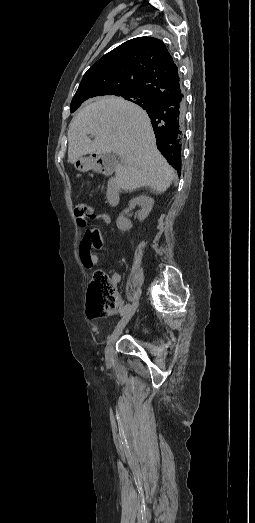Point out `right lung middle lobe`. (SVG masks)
<instances>
[{
  "label": "right lung middle lobe",
  "mask_w": 255,
  "mask_h": 523,
  "mask_svg": "<svg viewBox=\"0 0 255 523\" xmlns=\"http://www.w3.org/2000/svg\"><path fill=\"white\" fill-rule=\"evenodd\" d=\"M117 96H121L123 98H126L129 101H132L134 103L143 101V105L145 107H150L152 105V100L149 98V96L142 91H128L121 94H118ZM79 108V106L71 107V112L76 111Z\"/></svg>",
  "instance_id": "dd1d6c3e"
}]
</instances>
